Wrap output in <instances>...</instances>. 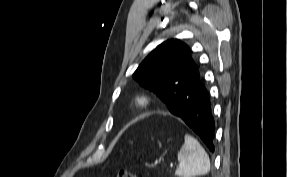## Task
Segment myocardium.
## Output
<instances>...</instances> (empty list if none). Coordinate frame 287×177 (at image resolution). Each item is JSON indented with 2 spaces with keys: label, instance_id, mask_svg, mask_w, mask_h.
<instances>
[{
  "label": "myocardium",
  "instance_id": "obj_1",
  "mask_svg": "<svg viewBox=\"0 0 287 177\" xmlns=\"http://www.w3.org/2000/svg\"><path fill=\"white\" fill-rule=\"evenodd\" d=\"M154 103V98L152 94L149 92L143 91L136 94L132 100V107L136 111L142 112L149 107H151Z\"/></svg>",
  "mask_w": 287,
  "mask_h": 177
}]
</instances>
